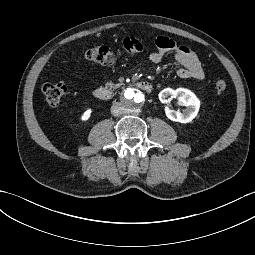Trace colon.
Masks as SVG:
<instances>
[{
    "label": "colon",
    "instance_id": "obj_1",
    "mask_svg": "<svg viewBox=\"0 0 255 255\" xmlns=\"http://www.w3.org/2000/svg\"><path fill=\"white\" fill-rule=\"evenodd\" d=\"M143 49V44L137 38L128 37L123 41L121 50H113L105 45H94L86 50L85 56L96 63L111 64L124 55H134L142 52ZM225 89V81H216L215 90L217 93H223ZM42 92L50 106H57L66 93V86L62 82L46 83L42 87Z\"/></svg>",
    "mask_w": 255,
    "mask_h": 255
}]
</instances>
